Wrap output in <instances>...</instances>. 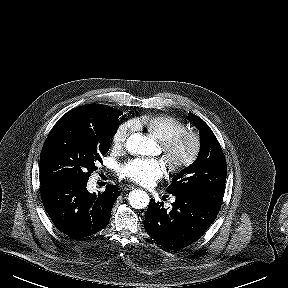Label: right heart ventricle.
Instances as JSON below:
<instances>
[{
    "instance_id": "right-heart-ventricle-1",
    "label": "right heart ventricle",
    "mask_w": 288,
    "mask_h": 288,
    "mask_svg": "<svg viewBox=\"0 0 288 288\" xmlns=\"http://www.w3.org/2000/svg\"><path fill=\"white\" fill-rule=\"evenodd\" d=\"M134 125L160 141L186 128L182 120L168 114L145 115L134 120Z\"/></svg>"
}]
</instances>
